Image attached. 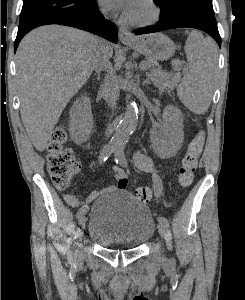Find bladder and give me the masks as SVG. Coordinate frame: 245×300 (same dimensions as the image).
I'll return each mask as SVG.
<instances>
[{"instance_id": "1", "label": "bladder", "mask_w": 245, "mask_h": 300, "mask_svg": "<svg viewBox=\"0 0 245 300\" xmlns=\"http://www.w3.org/2000/svg\"><path fill=\"white\" fill-rule=\"evenodd\" d=\"M155 230L149 207L123 189L103 192L90 209L87 234L101 247L136 249L150 241Z\"/></svg>"}]
</instances>
